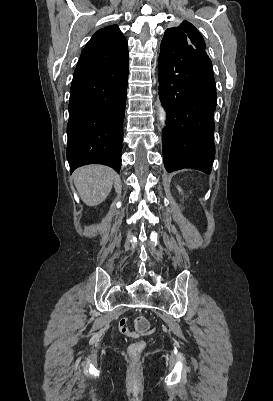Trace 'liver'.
Returning <instances> with one entry per match:
<instances>
[{
    "instance_id": "1",
    "label": "liver",
    "mask_w": 273,
    "mask_h": 401,
    "mask_svg": "<svg viewBox=\"0 0 273 401\" xmlns=\"http://www.w3.org/2000/svg\"><path fill=\"white\" fill-rule=\"evenodd\" d=\"M73 178L83 203L89 207H95L105 201L114 180H119L120 176L109 166L88 164V166L77 168Z\"/></svg>"
}]
</instances>
